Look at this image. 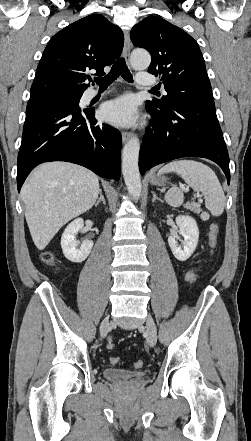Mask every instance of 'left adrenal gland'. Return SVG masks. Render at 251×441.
Returning a JSON list of instances; mask_svg holds the SVG:
<instances>
[{
	"label": "left adrenal gland",
	"instance_id": "left-adrenal-gland-1",
	"mask_svg": "<svg viewBox=\"0 0 251 441\" xmlns=\"http://www.w3.org/2000/svg\"><path fill=\"white\" fill-rule=\"evenodd\" d=\"M152 195H153L152 202H155V200H159V201H161V199L157 197V195L155 194L154 191H152Z\"/></svg>",
	"mask_w": 251,
	"mask_h": 441
}]
</instances>
